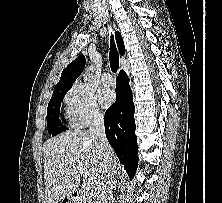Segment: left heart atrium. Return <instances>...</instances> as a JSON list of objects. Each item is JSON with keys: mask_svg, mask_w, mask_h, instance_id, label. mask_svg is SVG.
<instances>
[{"mask_svg": "<svg viewBox=\"0 0 222 203\" xmlns=\"http://www.w3.org/2000/svg\"><path fill=\"white\" fill-rule=\"evenodd\" d=\"M99 100L102 106L108 107L114 102L115 95L111 90L103 89L99 92Z\"/></svg>", "mask_w": 222, "mask_h": 203, "instance_id": "obj_1", "label": "left heart atrium"}]
</instances>
